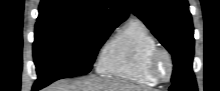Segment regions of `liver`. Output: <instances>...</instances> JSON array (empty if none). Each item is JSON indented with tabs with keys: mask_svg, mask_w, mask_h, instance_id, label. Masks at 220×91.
<instances>
[{
	"mask_svg": "<svg viewBox=\"0 0 220 91\" xmlns=\"http://www.w3.org/2000/svg\"><path fill=\"white\" fill-rule=\"evenodd\" d=\"M44 91H146V89L116 78L92 76L82 80L58 81Z\"/></svg>",
	"mask_w": 220,
	"mask_h": 91,
	"instance_id": "obj_1",
	"label": "liver"
}]
</instances>
